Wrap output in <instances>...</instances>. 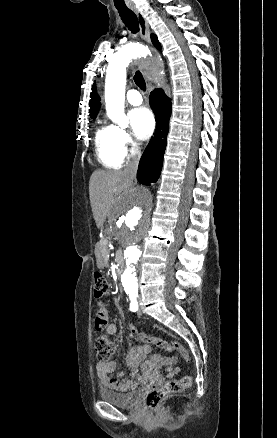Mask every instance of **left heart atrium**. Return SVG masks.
<instances>
[{"mask_svg":"<svg viewBox=\"0 0 277 438\" xmlns=\"http://www.w3.org/2000/svg\"><path fill=\"white\" fill-rule=\"evenodd\" d=\"M130 118L137 137L143 140L149 138L154 129L152 112L145 107L134 109L130 113Z\"/></svg>","mask_w":277,"mask_h":438,"instance_id":"left-heart-atrium-1","label":"left heart atrium"}]
</instances>
